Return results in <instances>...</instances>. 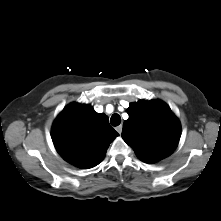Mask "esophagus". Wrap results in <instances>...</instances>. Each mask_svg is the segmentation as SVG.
<instances>
[{
    "label": "esophagus",
    "instance_id": "esophagus-1",
    "mask_svg": "<svg viewBox=\"0 0 221 221\" xmlns=\"http://www.w3.org/2000/svg\"><path fill=\"white\" fill-rule=\"evenodd\" d=\"M122 128H123L122 125H119V126L116 127V131H117L119 134H121Z\"/></svg>",
    "mask_w": 221,
    "mask_h": 221
}]
</instances>
